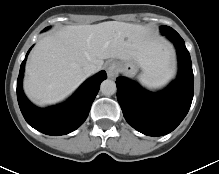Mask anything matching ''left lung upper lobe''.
<instances>
[{
    "instance_id": "obj_1",
    "label": "left lung upper lobe",
    "mask_w": 219,
    "mask_h": 174,
    "mask_svg": "<svg viewBox=\"0 0 219 174\" xmlns=\"http://www.w3.org/2000/svg\"><path fill=\"white\" fill-rule=\"evenodd\" d=\"M161 31L164 35H168V34H171V33H176V31L174 29H172L171 27L169 26H161Z\"/></svg>"
}]
</instances>
